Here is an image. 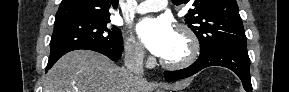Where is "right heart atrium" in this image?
Returning a JSON list of instances; mask_svg holds the SVG:
<instances>
[{
    "mask_svg": "<svg viewBox=\"0 0 289 92\" xmlns=\"http://www.w3.org/2000/svg\"><path fill=\"white\" fill-rule=\"evenodd\" d=\"M125 55L133 63L142 64L145 61V52L139 42L129 36L125 42Z\"/></svg>",
    "mask_w": 289,
    "mask_h": 92,
    "instance_id": "1",
    "label": "right heart atrium"
}]
</instances>
